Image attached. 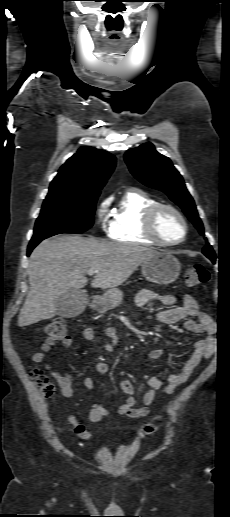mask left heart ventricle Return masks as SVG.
Segmentation results:
<instances>
[{
	"instance_id": "obj_1",
	"label": "left heart ventricle",
	"mask_w": 230,
	"mask_h": 517,
	"mask_svg": "<svg viewBox=\"0 0 230 517\" xmlns=\"http://www.w3.org/2000/svg\"><path fill=\"white\" fill-rule=\"evenodd\" d=\"M159 234L167 241L178 240L183 234V225L172 212L164 211L157 224Z\"/></svg>"
}]
</instances>
